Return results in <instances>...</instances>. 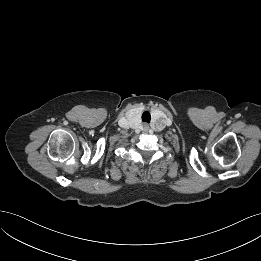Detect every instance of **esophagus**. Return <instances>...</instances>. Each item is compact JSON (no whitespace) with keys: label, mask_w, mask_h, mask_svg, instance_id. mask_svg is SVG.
<instances>
[{"label":"esophagus","mask_w":261,"mask_h":261,"mask_svg":"<svg viewBox=\"0 0 261 261\" xmlns=\"http://www.w3.org/2000/svg\"><path fill=\"white\" fill-rule=\"evenodd\" d=\"M148 130H149L148 124H144V125H143V131H144V132H147Z\"/></svg>","instance_id":"1"}]
</instances>
